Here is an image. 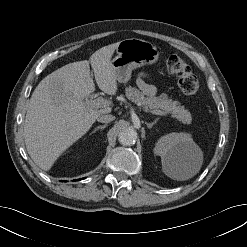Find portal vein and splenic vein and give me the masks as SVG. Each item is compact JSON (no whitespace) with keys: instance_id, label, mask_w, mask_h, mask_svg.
<instances>
[{"instance_id":"portal-vein-and-splenic-vein-1","label":"portal vein and splenic vein","mask_w":247,"mask_h":247,"mask_svg":"<svg viewBox=\"0 0 247 247\" xmlns=\"http://www.w3.org/2000/svg\"><path fill=\"white\" fill-rule=\"evenodd\" d=\"M85 103L92 106V107H95V108H105V107H109L111 104L110 101L104 99L103 97H98L96 99H90V100L86 99ZM143 111L144 112H150L154 115H165V113L162 112L161 110H152L151 111L145 107L143 108Z\"/></svg>"}]
</instances>
